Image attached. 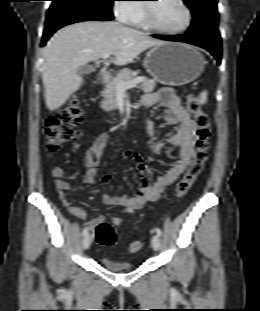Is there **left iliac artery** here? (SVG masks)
Masks as SVG:
<instances>
[{
	"label": "left iliac artery",
	"mask_w": 260,
	"mask_h": 311,
	"mask_svg": "<svg viewBox=\"0 0 260 311\" xmlns=\"http://www.w3.org/2000/svg\"><path fill=\"white\" fill-rule=\"evenodd\" d=\"M156 233H157L158 236H161V234H162L161 229H160V228H157V229H156Z\"/></svg>",
	"instance_id": "obj_1"
}]
</instances>
